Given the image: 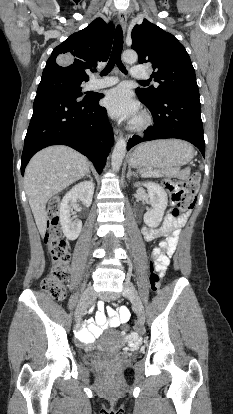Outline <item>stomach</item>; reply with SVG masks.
<instances>
[{"instance_id":"stomach-1","label":"stomach","mask_w":233,"mask_h":414,"mask_svg":"<svg viewBox=\"0 0 233 414\" xmlns=\"http://www.w3.org/2000/svg\"><path fill=\"white\" fill-rule=\"evenodd\" d=\"M194 156L193 147L180 140H159L139 145L129 157V165L171 171L186 165Z\"/></svg>"}]
</instances>
